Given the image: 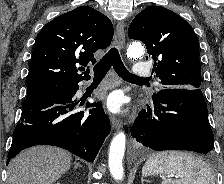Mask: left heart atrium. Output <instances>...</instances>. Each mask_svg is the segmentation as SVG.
Wrapping results in <instances>:
<instances>
[{
	"instance_id": "left-heart-atrium-1",
	"label": "left heart atrium",
	"mask_w": 224,
	"mask_h": 184,
	"mask_svg": "<svg viewBox=\"0 0 224 184\" xmlns=\"http://www.w3.org/2000/svg\"><path fill=\"white\" fill-rule=\"evenodd\" d=\"M107 106L111 111L117 112L121 108V98L117 93L111 94L107 100Z\"/></svg>"
}]
</instances>
